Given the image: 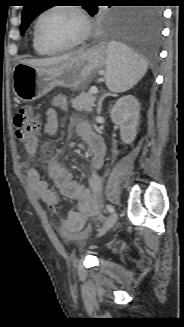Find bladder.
I'll return each mask as SVG.
<instances>
[{"label": "bladder", "instance_id": "1", "mask_svg": "<svg viewBox=\"0 0 184 327\" xmlns=\"http://www.w3.org/2000/svg\"><path fill=\"white\" fill-rule=\"evenodd\" d=\"M88 240H89V235L87 233H80L76 236L73 243L74 244H82V243L88 242Z\"/></svg>", "mask_w": 184, "mask_h": 327}]
</instances>
